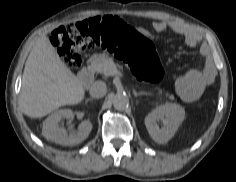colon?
<instances>
[{
	"label": "colon",
	"instance_id": "colon-1",
	"mask_svg": "<svg viewBox=\"0 0 236 182\" xmlns=\"http://www.w3.org/2000/svg\"><path fill=\"white\" fill-rule=\"evenodd\" d=\"M63 62L77 69L81 54L92 48H106L124 60L141 80L157 82L163 69L152 42L118 17L94 18L56 28L51 36Z\"/></svg>",
	"mask_w": 236,
	"mask_h": 182
}]
</instances>
